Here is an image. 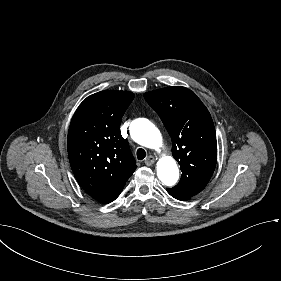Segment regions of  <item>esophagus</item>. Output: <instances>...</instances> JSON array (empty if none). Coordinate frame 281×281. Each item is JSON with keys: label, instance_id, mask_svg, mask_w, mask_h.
I'll list each match as a JSON object with an SVG mask.
<instances>
[{"label": "esophagus", "instance_id": "obj_1", "mask_svg": "<svg viewBox=\"0 0 281 281\" xmlns=\"http://www.w3.org/2000/svg\"><path fill=\"white\" fill-rule=\"evenodd\" d=\"M144 163L147 165V166H151L152 164L155 163V158L153 156H148Z\"/></svg>", "mask_w": 281, "mask_h": 281}]
</instances>
